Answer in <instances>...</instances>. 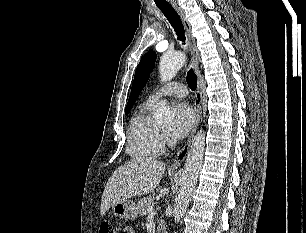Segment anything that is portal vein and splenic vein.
<instances>
[{
  "label": "portal vein and splenic vein",
  "instance_id": "obj_1",
  "mask_svg": "<svg viewBox=\"0 0 306 233\" xmlns=\"http://www.w3.org/2000/svg\"><path fill=\"white\" fill-rule=\"evenodd\" d=\"M147 212L149 215H154L155 214V209L153 206H149L147 209Z\"/></svg>",
  "mask_w": 306,
  "mask_h": 233
}]
</instances>
